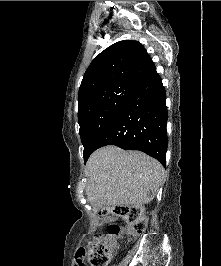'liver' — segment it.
<instances>
[{
    "instance_id": "obj_1",
    "label": "liver",
    "mask_w": 221,
    "mask_h": 266,
    "mask_svg": "<svg viewBox=\"0 0 221 266\" xmlns=\"http://www.w3.org/2000/svg\"><path fill=\"white\" fill-rule=\"evenodd\" d=\"M85 175L87 197L97 207L140 206L155 197L164 168L142 152L106 146L91 154Z\"/></svg>"
}]
</instances>
